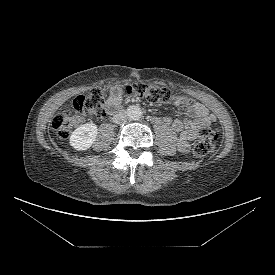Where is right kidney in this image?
Wrapping results in <instances>:
<instances>
[{
	"mask_svg": "<svg viewBox=\"0 0 275 275\" xmlns=\"http://www.w3.org/2000/svg\"><path fill=\"white\" fill-rule=\"evenodd\" d=\"M97 126L86 123L75 129L70 136V145L76 150H87L94 143L97 136Z\"/></svg>",
	"mask_w": 275,
	"mask_h": 275,
	"instance_id": "right-kidney-1",
	"label": "right kidney"
}]
</instances>
